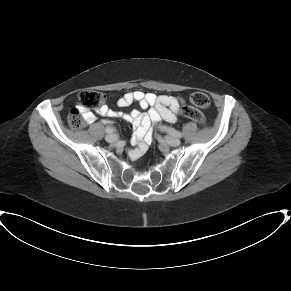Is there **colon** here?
Wrapping results in <instances>:
<instances>
[{
    "label": "colon",
    "instance_id": "obj_1",
    "mask_svg": "<svg viewBox=\"0 0 291 291\" xmlns=\"http://www.w3.org/2000/svg\"><path fill=\"white\" fill-rule=\"evenodd\" d=\"M190 99L192 104L198 108H207L210 105L209 97L204 92L196 91L191 94ZM104 101L105 95L101 91L93 89L82 90L78 95V106L68 115V124L70 127L73 129L82 128L85 123L82 111L84 109L99 108ZM182 114L199 124H204V116L197 109L187 107L182 110Z\"/></svg>",
    "mask_w": 291,
    "mask_h": 291
}]
</instances>
